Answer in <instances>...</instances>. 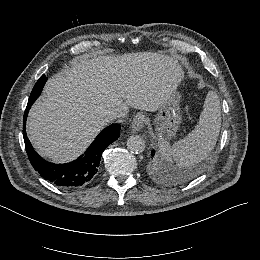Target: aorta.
Here are the masks:
<instances>
[{
	"label": "aorta",
	"mask_w": 260,
	"mask_h": 260,
	"mask_svg": "<svg viewBox=\"0 0 260 260\" xmlns=\"http://www.w3.org/2000/svg\"><path fill=\"white\" fill-rule=\"evenodd\" d=\"M146 142L139 135H132L127 139V148L131 153L140 154L145 150Z\"/></svg>",
	"instance_id": "1"
}]
</instances>
